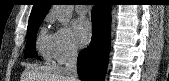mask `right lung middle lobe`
<instances>
[{
  "mask_svg": "<svg viewBox=\"0 0 169 81\" xmlns=\"http://www.w3.org/2000/svg\"><path fill=\"white\" fill-rule=\"evenodd\" d=\"M41 22L42 20H39L28 24L27 44L25 47V54H24L25 58L36 56V49H35L36 34Z\"/></svg>",
  "mask_w": 169,
  "mask_h": 81,
  "instance_id": "right-lung-middle-lobe-1",
  "label": "right lung middle lobe"
}]
</instances>
